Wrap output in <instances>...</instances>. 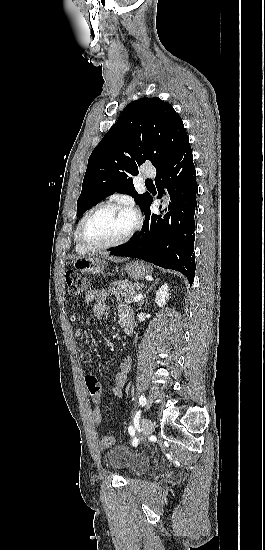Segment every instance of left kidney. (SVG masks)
<instances>
[{
	"label": "left kidney",
	"instance_id": "5707ae66",
	"mask_svg": "<svg viewBox=\"0 0 265 550\" xmlns=\"http://www.w3.org/2000/svg\"><path fill=\"white\" fill-rule=\"evenodd\" d=\"M169 286L167 283L162 285L159 290L156 292L155 302L159 307L165 306L166 302L169 300Z\"/></svg>",
	"mask_w": 265,
	"mask_h": 550
}]
</instances>
